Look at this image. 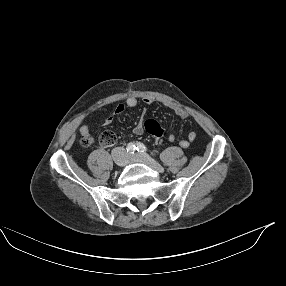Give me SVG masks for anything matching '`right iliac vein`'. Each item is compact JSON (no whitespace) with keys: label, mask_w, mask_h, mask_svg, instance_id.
<instances>
[{"label":"right iliac vein","mask_w":286,"mask_h":286,"mask_svg":"<svg viewBox=\"0 0 286 286\" xmlns=\"http://www.w3.org/2000/svg\"><path fill=\"white\" fill-rule=\"evenodd\" d=\"M119 165H123V163H119Z\"/></svg>","instance_id":"obj_1"}]
</instances>
